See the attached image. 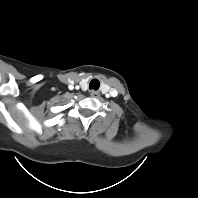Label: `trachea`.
<instances>
[{
    "instance_id": "1",
    "label": "trachea",
    "mask_w": 198,
    "mask_h": 198,
    "mask_svg": "<svg viewBox=\"0 0 198 198\" xmlns=\"http://www.w3.org/2000/svg\"><path fill=\"white\" fill-rule=\"evenodd\" d=\"M99 87H100V82L97 79L91 80V82L89 84L90 89L98 90Z\"/></svg>"
}]
</instances>
